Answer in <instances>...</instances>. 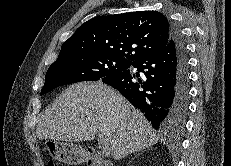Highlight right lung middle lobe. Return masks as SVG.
<instances>
[{"label":"right lung middle lobe","instance_id":"right-lung-middle-lobe-1","mask_svg":"<svg viewBox=\"0 0 231 166\" xmlns=\"http://www.w3.org/2000/svg\"><path fill=\"white\" fill-rule=\"evenodd\" d=\"M132 61L100 53H79L59 57L48 69L41 95L58 86L96 81L128 69Z\"/></svg>","mask_w":231,"mask_h":166}]
</instances>
